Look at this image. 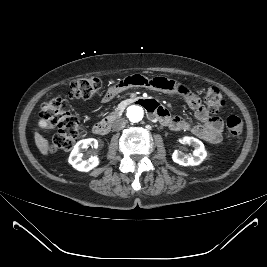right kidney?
Instances as JSON below:
<instances>
[{"mask_svg": "<svg viewBox=\"0 0 267 267\" xmlns=\"http://www.w3.org/2000/svg\"><path fill=\"white\" fill-rule=\"evenodd\" d=\"M89 146L97 148V140L94 138L80 140L70 153L69 163L78 171L88 172L99 164V158L96 155H91L87 160L82 159V150L87 149Z\"/></svg>", "mask_w": 267, "mask_h": 267, "instance_id": "ca27d5eb", "label": "right kidney"}]
</instances>
